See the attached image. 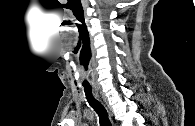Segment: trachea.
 Wrapping results in <instances>:
<instances>
[{
	"label": "trachea",
	"instance_id": "trachea-1",
	"mask_svg": "<svg viewBox=\"0 0 195 126\" xmlns=\"http://www.w3.org/2000/svg\"><path fill=\"white\" fill-rule=\"evenodd\" d=\"M86 99L90 106L96 111V113L99 116V122L100 126H111V122L108 118V113L104 106L94 98L92 95L91 87L90 86H85L84 87Z\"/></svg>",
	"mask_w": 195,
	"mask_h": 126
}]
</instances>
